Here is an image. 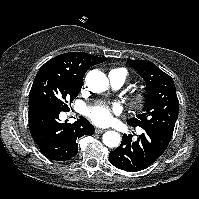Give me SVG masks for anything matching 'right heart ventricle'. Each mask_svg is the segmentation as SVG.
<instances>
[{
  "instance_id": "1",
  "label": "right heart ventricle",
  "mask_w": 199,
  "mask_h": 199,
  "mask_svg": "<svg viewBox=\"0 0 199 199\" xmlns=\"http://www.w3.org/2000/svg\"><path fill=\"white\" fill-rule=\"evenodd\" d=\"M112 70H114V69H112ZM115 70H120V71H122V72L124 73L125 77H126V71H125V69H123V68H117V69H115Z\"/></svg>"
}]
</instances>
